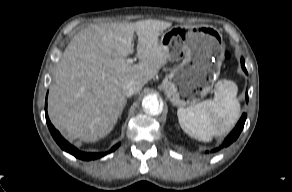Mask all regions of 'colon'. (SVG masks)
Instances as JSON below:
<instances>
[{"mask_svg": "<svg viewBox=\"0 0 292 192\" xmlns=\"http://www.w3.org/2000/svg\"><path fill=\"white\" fill-rule=\"evenodd\" d=\"M224 58H225L226 60H229V59L231 58V54H230L229 51H225V52H224Z\"/></svg>", "mask_w": 292, "mask_h": 192, "instance_id": "1", "label": "colon"}]
</instances>
